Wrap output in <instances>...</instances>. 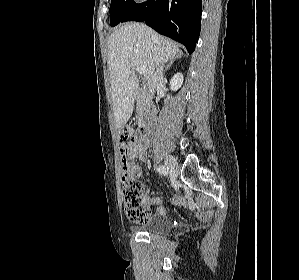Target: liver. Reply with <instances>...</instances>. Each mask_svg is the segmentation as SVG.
I'll list each match as a JSON object with an SVG mask.
<instances>
[{
  "label": "liver",
  "instance_id": "liver-1",
  "mask_svg": "<svg viewBox=\"0 0 299 280\" xmlns=\"http://www.w3.org/2000/svg\"><path fill=\"white\" fill-rule=\"evenodd\" d=\"M181 51L167 38L141 23H126L108 39L112 107L117 128L130 119L138 93L136 66L147 68L149 80L158 64L177 57Z\"/></svg>",
  "mask_w": 299,
  "mask_h": 280
}]
</instances>
